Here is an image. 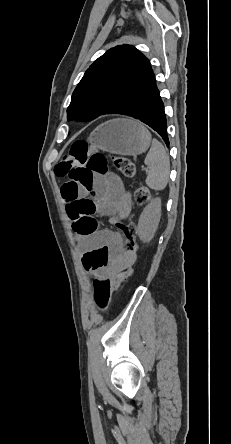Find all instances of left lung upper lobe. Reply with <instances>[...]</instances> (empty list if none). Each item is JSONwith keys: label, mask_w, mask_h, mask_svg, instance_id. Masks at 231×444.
Here are the masks:
<instances>
[{"label": "left lung upper lobe", "mask_w": 231, "mask_h": 444, "mask_svg": "<svg viewBox=\"0 0 231 444\" xmlns=\"http://www.w3.org/2000/svg\"><path fill=\"white\" fill-rule=\"evenodd\" d=\"M152 71L149 60L131 45L106 51L85 72L67 109V119L91 120L115 114Z\"/></svg>", "instance_id": "1"}]
</instances>
